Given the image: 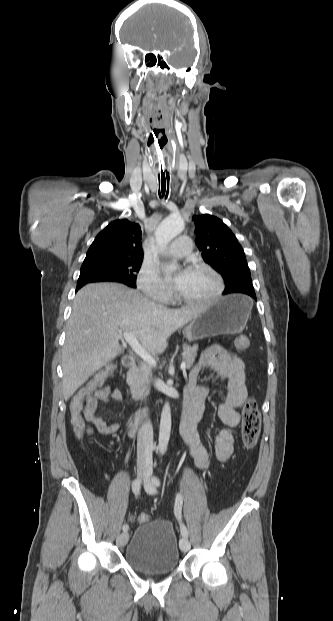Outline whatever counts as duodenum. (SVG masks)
<instances>
[{
	"instance_id": "duodenum-1",
	"label": "duodenum",
	"mask_w": 333,
	"mask_h": 621,
	"mask_svg": "<svg viewBox=\"0 0 333 621\" xmlns=\"http://www.w3.org/2000/svg\"><path fill=\"white\" fill-rule=\"evenodd\" d=\"M122 364L126 370V384L127 386H130L132 382V373L136 367V360L132 356H125L122 360ZM189 393H190V386H188L185 389V392H184L185 397H187ZM151 419H152V412L150 410L143 412L142 414L139 415V417L136 420H133L128 423L127 425L128 434L130 436L136 435L137 431L139 430V427L143 423L148 422ZM198 420L199 418L196 414H191L187 410L182 419V425L193 426L197 423Z\"/></svg>"
}]
</instances>
